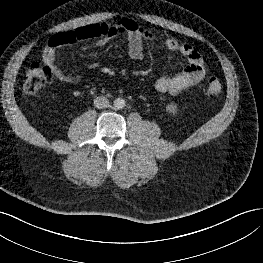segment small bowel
<instances>
[{
	"label": "small bowel",
	"instance_id": "c3829d8e",
	"mask_svg": "<svg viewBox=\"0 0 263 263\" xmlns=\"http://www.w3.org/2000/svg\"><path fill=\"white\" fill-rule=\"evenodd\" d=\"M118 35H124L127 38L128 53L133 60L142 59L144 44L156 40V35L151 29L141 27L130 19H121L109 24H90L53 35L43 51L42 60L45 65L51 68L59 81L75 84L80 80V77L66 73L56 63V50L89 39H93V45L101 46ZM163 45L169 51L178 52L184 56L187 60V66L179 74L159 78L155 84L158 92L176 95L204 79L206 71L203 58L191 44L179 42L174 37H166L163 40Z\"/></svg>",
	"mask_w": 263,
	"mask_h": 263
}]
</instances>
